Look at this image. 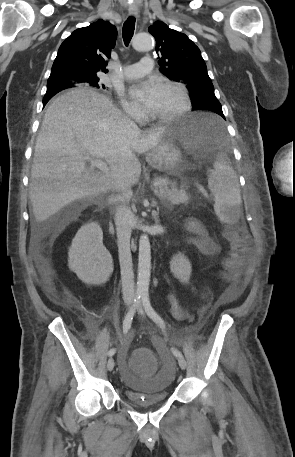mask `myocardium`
I'll return each mask as SVG.
<instances>
[{"mask_svg": "<svg viewBox=\"0 0 295 457\" xmlns=\"http://www.w3.org/2000/svg\"><path fill=\"white\" fill-rule=\"evenodd\" d=\"M161 86H166L177 90L180 95L181 104L179 108L172 113L164 115H155L153 113H149V118L154 121L167 122L175 120L184 115L190 109L191 106L190 96L186 87L179 82L169 80L162 81Z\"/></svg>", "mask_w": 295, "mask_h": 457, "instance_id": "myocardium-1", "label": "myocardium"}]
</instances>
